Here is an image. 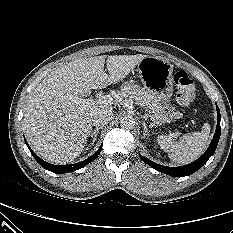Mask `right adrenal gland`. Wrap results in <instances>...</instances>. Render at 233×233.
Returning <instances> with one entry per match:
<instances>
[{"instance_id":"1","label":"right adrenal gland","mask_w":233,"mask_h":233,"mask_svg":"<svg viewBox=\"0 0 233 233\" xmlns=\"http://www.w3.org/2000/svg\"><path fill=\"white\" fill-rule=\"evenodd\" d=\"M99 130H100V127H97L95 130H91L90 131V134H89V136H91L92 137V145L94 144V142L96 141V138H97V136H98V134H99Z\"/></svg>"}]
</instances>
